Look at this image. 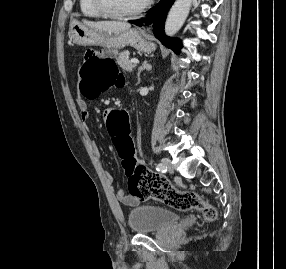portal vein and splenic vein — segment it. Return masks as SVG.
<instances>
[{
  "label": "portal vein and splenic vein",
  "mask_w": 286,
  "mask_h": 269,
  "mask_svg": "<svg viewBox=\"0 0 286 269\" xmlns=\"http://www.w3.org/2000/svg\"><path fill=\"white\" fill-rule=\"evenodd\" d=\"M131 62H132L133 64H138V63H139V60L136 59V58H133V59H131Z\"/></svg>",
  "instance_id": "portal-vein-and-splenic-vein-1"
}]
</instances>
